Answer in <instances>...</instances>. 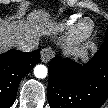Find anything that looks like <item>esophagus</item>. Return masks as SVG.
<instances>
[{"mask_svg": "<svg viewBox=\"0 0 108 108\" xmlns=\"http://www.w3.org/2000/svg\"><path fill=\"white\" fill-rule=\"evenodd\" d=\"M54 56V51L51 48H44L41 51V60L44 63H48Z\"/></svg>", "mask_w": 108, "mask_h": 108, "instance_id": "1", "label": "esophagus"}]
</instances>
